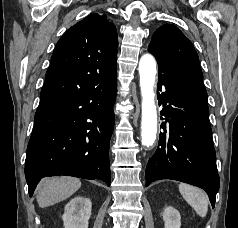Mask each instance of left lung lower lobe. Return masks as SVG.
I'll use <instances>...</instances> for the list:
<instances>
[{"mask_svg": "<svg viewBox=\"0 0 238 228\" xmlns=\"http://www.w3.org/2000/svg\"><path fill=\"white\" fill-rule=\"evenodd\" d=\"M157 90L166 121L146 167V186L161 179L189 183L204 189L214 207L220 180L207 97L160 68Z\"/></svg>", "mask_w": 238, "mask_h": 228, "instance_id": "1", "label": "left lung lower lobe"}]
</instances>
